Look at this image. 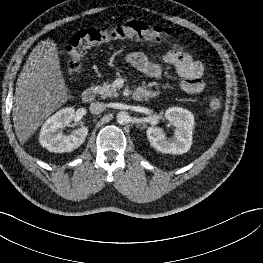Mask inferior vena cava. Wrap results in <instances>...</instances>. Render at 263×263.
I'll return each instance as SVG.
<instances>
[{"instance_id": "obj_1", "label": "inferior vena cava", "mask_w": 263, "mask_h": 263, "mask_svg": "<svg viewBox=\"0 0 263 263\" xmlns=\"http://www.w3.org/2000/svg\"><path fill=\"white\" fill-rule=\"evenodd\" d=\"M106 108V105L103 102H92L90 104L89 110L92 114H99L103 112Z\"/></svg>"}]
</instances>
